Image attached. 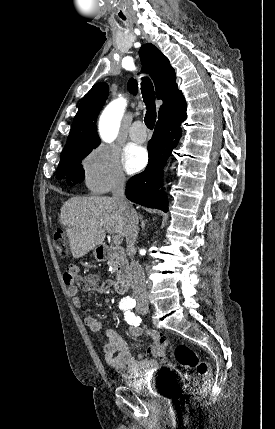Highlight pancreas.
Wrapping results in <instances>:
<instances>
[{"instance_id": "1", "label": "pancreas", "mask_w": 275, "mask_h": 429, "mask_svg": "<svg viewBox=\"0 0 275 429\" xmlns=\"http://www.w3.org/2000/svg\"><path fill=\"white\" fill-rule=\"evenodd\" d=\"M108 265H109V266H112V267H115L116 262H115V261H110V262L108 263ZM113 272H115V269H113Z\"/></svg>"}]
</instances>
